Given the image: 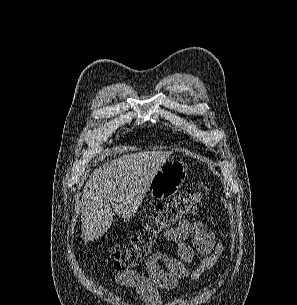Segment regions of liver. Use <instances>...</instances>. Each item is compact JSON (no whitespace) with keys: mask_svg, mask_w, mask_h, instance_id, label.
Returning a JSON list of instances; mask_svg holds the SVG:
<instances>
[{"mask_svg":"<svg viewBox=\"0 0 297 305\" xmlns=\"http://www.w3.org/2000/svg\"><path fill=\"white\" fill-rule=\"evenodd\" d=\"M171 152L126 154L96 169L86 182L81 205L84 243L97 240L113 222L112 208L122 218L132 217L148 186Z\"/></svg>","mask_w":297,"mask_h":305,"instance_id":"1","label":"liver"}]
</instances>
